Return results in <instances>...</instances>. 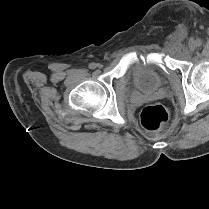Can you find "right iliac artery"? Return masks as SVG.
Listing matches in <instances>:
<instances>
[{
  "instance_id": "1",
  "label": "right iliac artery",
  "mask_w": 209,
  "mask_h": 209,
  "mask_svg": "<svg viewBox=\"0 0 209 209\" xmlns=\"http://www.w3.org/2000/svg\"><path fill=\"white\" fill-rule=\"evenodd\" d=\"M89 68L90 69H95L96 68V64L95 63H90L89 64Z\"/></svg>"
}]
</instances>
